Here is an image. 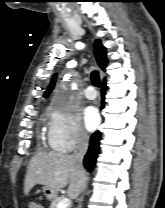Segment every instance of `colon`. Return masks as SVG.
I'll use <instances>...</instances> for the list:
<instances>
[{
    "mask_svg": "<svg viewBox=\"0 0 165 208\" xmlns=\"http://www.w3.org/2000/svg\"><path fill=\"white\" fill-rule=\"evenodd\" d=\"M28 208H43V207L38 202H31V203H29Z\"/></svg>",
    "mask_w": 165,
    "mask_h": 208,
    "instance_id": "colon-1",
    "label": "colon"
}]
</instances>
